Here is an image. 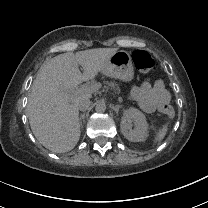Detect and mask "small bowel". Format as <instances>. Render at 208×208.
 <instances>
[{
  "label": "small bowel",
  "mask_w": 208,
  "mask_h": 208,
  "mask_svg": "<svg viewBox=\"0 0 208 208\" xmlns=\"http://www.w3.org/2000/svg\"><path fill=\"white\" fill-rule=\"evenodd\" d=\"M130 97L137 101L141 109L146 113L159 111V107L168 104L170 96L161 79L154 83L145 79L140 86L132 87Z\"/></svg>",
  "instance_id": "obj_1"
}]
</instances>
